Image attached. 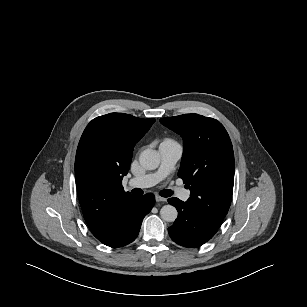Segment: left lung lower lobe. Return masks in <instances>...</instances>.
I'll list each match as a JSON object with an SVG mask.
<instances>
[{
    "label": "left lung lower lobe",
    "mask_w": 307,
    "mask_h": 307,
    "mask_svg": "<svg viewBox=\"0 0 307 307\" xmlns=\"http://www.w3.org/2000/svg\"><path fill=\"white\" fill-rule=\"evenodd\" d=\"M168 202L178 211V218L168 228V232L171 239L181 246H201L210 240L220 227L196 214L186 202L178 198H170Z\"/></svg>",
    "instance_id": "1"
}]
</instances>
